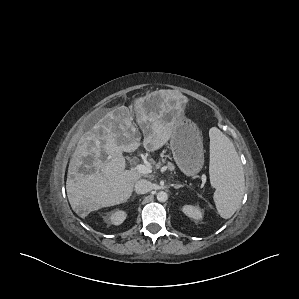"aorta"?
<instances>
[{
  "mask_svg": "<svg viewBox=\"0 0 299 299\" xmlns=\"http://www.w3.org/2000/svg\"><path fill=\"white\" fill-rule=\"evenodd\" d=\"M168 199V194L164 191H160L157 193V200L159 202H165Z\"/></svg>",
  "mask_w": 299,
  "mask_h": 299,
  "instance_id": "762f6f07",
  "label": "aorta"
}]
</instances>
